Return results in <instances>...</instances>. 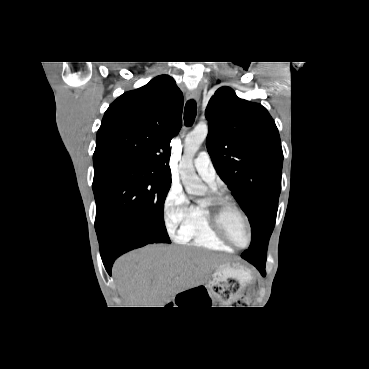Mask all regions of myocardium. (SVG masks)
Here are the masks:
<instances>
[{
  "label": "myocardium",
  "mask_w": 369,
  "mask_h": 369,
  "mask_svg": "<svg viewBox=\"0 0 369 369\" xmlns=\"http://www.w3.org/2000/svg\"><path fill=\"white\" fill-rule=\"evenodd\" d=\"M203 207L205 208L209 223L218 235V237L231 248L238 250L246 249L250 246L252 241V228L249 219L243 209L232 199L227 196L222 195H211L204 202ZM234 209L242 218L244 225L247 230L248 240L244 246L237 245L229 236L225 225H224V215L228 209Z\"/></svg>",
  "instance_id": "1"
}]
</instances>
